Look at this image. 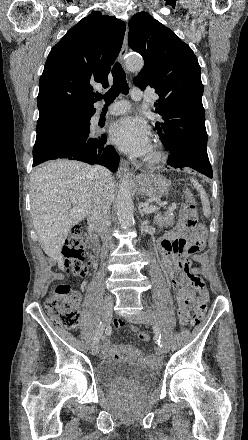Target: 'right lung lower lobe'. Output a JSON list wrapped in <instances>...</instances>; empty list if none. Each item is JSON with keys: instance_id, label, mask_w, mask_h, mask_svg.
<instances>
[{"instance_id": "right-lung-lower-lobe-1", "label": "right lung lower lobe", "mask_w": 248, "mask_h": 440, "mask_svg": "<svg viewBox=\"0 0 248 440\" xmlns=\"http://www.w3.org/2000/svg\"><path fill=\"white\" fill-rule=\"evenodd\" d=\"M92 115L73 116L37 132L33 148V167L48 160L70 159L100 164L115 171L119 156L114 147L104 145L105 135H89Z\"/></svg>"}]
</instances>
